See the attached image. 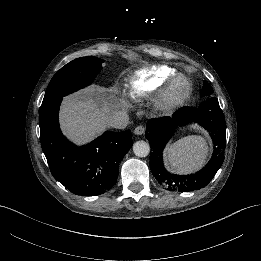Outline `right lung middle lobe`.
<instances>
[{
	"mask_svg": "<svg viewBox=\"0 0 261 261\" xmlns=\"http://www.w3.org/2000/svg\"><path fill=\"white\" fill-rule=\"evenodd\" d=\"M103 62L102 59L89 56L75 59L63 66L51 79L42 104L90 85L102 69Z\"/></svg>",
	"mask_w": 261,
	"mask_h": 261,
	"instance_id": "right-lung-middle-lobe-1",
	"label": "right lung middle lobe"
}]
</instances>
